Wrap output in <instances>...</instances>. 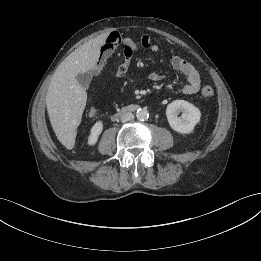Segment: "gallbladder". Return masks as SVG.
Listing matches in <instances>:
<instances>
[{
    "mask_svg": "<svg viewBox=\"0 0 261 261\" xmlns=\"http://www.w3.org/2000/svg\"><path fill=\"white\" fill-rule=\"evenodd\" d=\"M77 81L79 82V84L83 87V88H88L89 84L91 82L92 79V75L90 72H86V73H80L76 76Z\"/></svg>",
    "mask_w": 261,
    "mask_h": 261,
    "instance_id": "bac80fb5",
    "label": "gallbladder"
}]
</instances>
